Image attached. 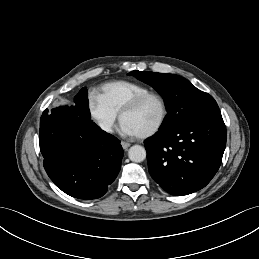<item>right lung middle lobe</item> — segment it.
Instances as JSON below:
<instances>
[{
  "label": "right lung middle lobe",
  "mask_w": 259,
  "mask_h": 259,
  "mask_svg": "<svg viewBox=\"0 0 259 259\" xmlns=\"http://www.w3.org/2000/svg\"><path fill=\"white\" fill-rule=\"evenodd\" d=\"M74 101L76 103V108L79 113L83 116L90 118V113L88 109V99H87V90L82 88L79 93L75 96Z\"/></svg>",
  "instance_id": "obj_1"
}]
</instances>
